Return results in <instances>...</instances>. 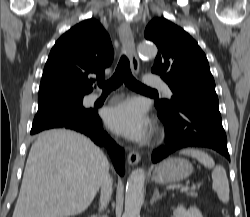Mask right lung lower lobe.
I'll return each instance as SVG.
<instances>
[{
	"label": "right lung lower lobe",
	"mask_w": 250,
	"mask_h": 217,
	"mask_svg": "<svg viewBox=\"0 0 250 217\" xmlns=\"http://www.w3.org/2000/svg\"><path fill=\"white\" fill-rule=\"evenodd\" d=\"M57 128H66L83 133L90 137L97 145L107 147L116 171L120 175L124 174V150L103 131L102 122L96 110H93V117L89 122L63 125Z\"/></svg>",
	"instance_id": "obj_1"
}]
</instances>
